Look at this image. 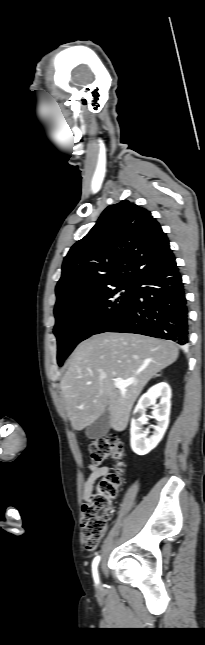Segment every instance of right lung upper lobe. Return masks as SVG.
I'll return each instance as SVG.
<instances>
[{"label":"right lung upper lobe","mask_w":205,"mask_h":645,"mask_svg":"<svg viewBox=\"0 0 205 645\" xmlns=\"http://www.w3.org/2000/svg\"><path fill=\"white\" fill-rule=\"evenodd\" d=\"M173 258L166 234L148 210L127 200L110 205L64 258L54 313L82 297L134 284Z\"/></svg>","instance_id":"cb5924a9"}]
</instances>
